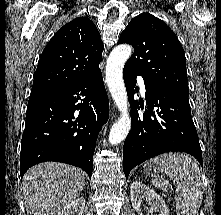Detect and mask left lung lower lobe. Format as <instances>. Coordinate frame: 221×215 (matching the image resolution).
<instances>
[{"label":"left lung lower lobe","mask_w":221,"mask_h":215,"mask_svg":"<svg viewBox=\"0 0 221 215\" xmlns=\"http://www.w3.org/2000/svg\"><path fill=\"white\" fill-rule=\"evenodd\" d=\"M136 75L124 66L123 77L131 101L132 127L123 146V170L126 179L133 167L161 153L181 151L193 155L202 165V152L191 117L188 98L159 88L144 80V101L133 99Z\"/></svg>","instance_id":"1"}]
</instances>
